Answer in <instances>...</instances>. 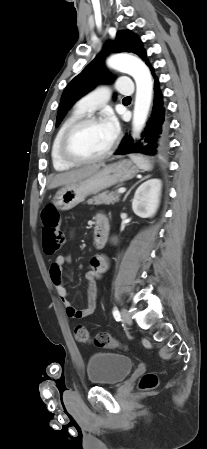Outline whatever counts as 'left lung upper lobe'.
Wrapping results in <instances>:
<instances>
[{
  "label": "left lung upper lobe",
  "instance_id": "obj_1",
  "mask_svg": "<svg viewBox=\"0 0 207 449\" xmlns=\"http://www.w3.org/2000/svg\"><path fill=\"white\" fill-rule=\"evenodd\" d=\"M115 52H132L145 60L146 52L142 47V42L137 35L129 30L118 31L113 44H106L103 52L99 54L84 70L77 75L65 88L61 97L56 126L60 124L66 112L83 95L95 88L104 81H108L107 73L104 70V54L111 50ZM148 65V60L145 61Z\"/></svg>",
  "mask_w": 207,
  "mask_h": 449
}]
</instances>
